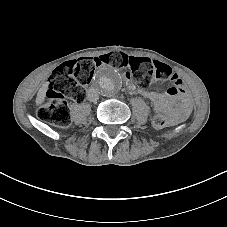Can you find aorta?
<instances>
[{"label":"aorta","mask_w":227,"mask_h":227,"mask_svg":"<svg viewBox=\"0 0 227 227\" xmlns=\"http://www.w3.org/2000/svg\"><path fill=\"white\" fill-rule=\"evenodd\" d=\"M94 86L103 96H113L121 89V75L112 67H101L94 75Z\"/></svg>","instance_id":"762f6f07"}]
</instances>
